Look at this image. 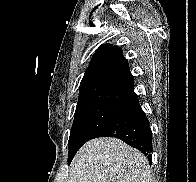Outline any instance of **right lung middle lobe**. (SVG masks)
<instances>
[{
  "label": "right lung middle lobe",
  "mask_w": 196,
  "mask_h": 182,
  "mask_svg": "<svg viewBox=\"0 0 196 182\" xmlns=\"http://www.w3.org/2000/svg\"><path fill=\"white\" fill-rule=\"evenodd\" d=\"M134 107L130 105L100 102L76 108L74 122L68 141V163L79 148L104 127L121 118Z\"/></svg>",
  "instance_id": "1"
}]
</instances>
